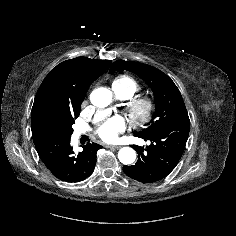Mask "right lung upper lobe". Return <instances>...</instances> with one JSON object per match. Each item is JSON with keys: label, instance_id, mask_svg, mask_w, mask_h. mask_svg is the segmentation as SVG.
Listing matches in <instances>:
<instances>
[{"label": "right lung upper lobe", "instance_id": "right-lung-upper-lobe-1", "mask_svg": "<svg viewBox=\"0 0 236 236\" xmlns=\"http://www.w3.org/2000/svg\"><path fill=\"white\" fill-rule=\"evenodd\" d=\"M109 60L77 57L58 64L40 85L31 111L33 133H46V123L58 116H78L89 86L110 66Z\"/></svg>", "mask_w": 236, "mask_h": 236}]
</instances>
